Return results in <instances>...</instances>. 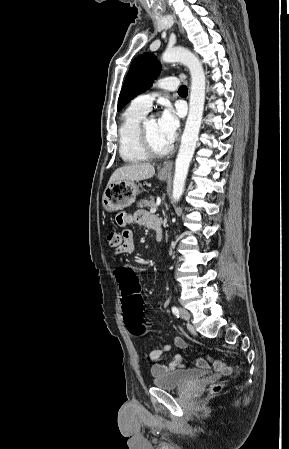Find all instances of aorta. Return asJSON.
<instances>
[{
    "label": "aorta",
    "instance_id": "762f6f07",
    "mask_svg": "<svg viewBox=\"0 0 289 449\" xmlns=\"http://www.w3.org/2000/svg\"><path fill=\"white\" fill-rule=\"evenodd\" d=\"M165 63L180 62L188 67L191 75L189 113L175 162L172 198L179 201L185 187L188 169L196 148L205 103L206 78L198 57L188 49L174 47L162 55Z\"/></svg>",
    "mask_w": 289,
    "mask_h": 449
}]
</instances>
